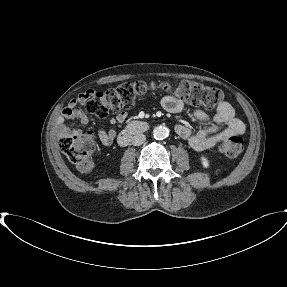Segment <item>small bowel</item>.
<instances>
[{
	"label": "small bowel",
	"instance_id": "1",
	"mask_svg": "<svg viewBox=\"0 0 287 287\" xmlns=\"http://www.w3.org/2000/svg\"><path fill=\"white\" fill-rule=\"evenodd\" d=\"M91 94L92 92L87 91L78 95L63 109L61 115L56 119V130L59 135L63 136L74 131L64 125L66 120H75L82 124L89 122L88 116L79 106L85 103ZM161 104L170 113H179L184 108V104L180 99L170 95L165 96ZM194 116L204 124L201 130L193 133L186 124L179 123L175 126V132L180 138L187 140L191 148L196 151L212 148L223 138L242 134L245 131L244 123L235 116L233 107L226 101H223L216 107L213 115H209L202 110H196ZM126 119V112H120L116 116L110 117L108 122L114 128L106 130L103 127H99L97 130L99 140L104 145H111L118 134V129L116 128H121Z\"/></svg>",
	"mask_w": 287,
	"mask_h": 287
}]
</instances>
